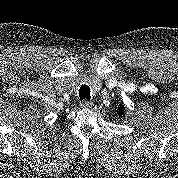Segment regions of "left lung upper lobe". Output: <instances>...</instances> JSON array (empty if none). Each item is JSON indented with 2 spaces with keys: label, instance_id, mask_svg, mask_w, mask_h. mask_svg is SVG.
<instances>
[{
  "label": "left lung upper lobe",
  "instance_id": "5c2ea615",
  "mask_svg": "<svg viewBox=\"0 0 178 178\" xmlns=\"http://www.w3.org/2000/svg\"><path fill=\"white\" fill-rule=\"evenodd\" d=\"M123 108H124L123 105H121V106L118 108V110H119V114H120V115H122V114L124 113V112H123V111H124Z\"/></svg>",
  "mask_w": 178,
  "mask_h": 178
}]
</instances>
